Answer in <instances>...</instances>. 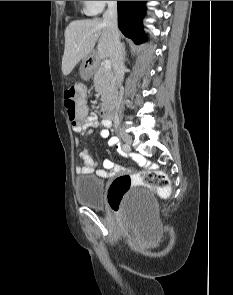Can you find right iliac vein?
I'll return each mask as SVG.
<instances>
[{"mask_svg": "<svg viewBox=\"0 0 233 295\" xmlns=\"http://www.w3.org/2000/svg\"><path fill=\"white\" fill-rule=\"evenodd\" d=\"M119 135H120L121 139L125 142V144H127L126 150H124V151H129L130 145L132 143V139H131L130 135L127 134L122 129L119 130Z\"/></svg>", "mask_w": 233, "mask_h": 295, "instance_id": "obj_1", "label": "right iliac vein"}]
</instances>
